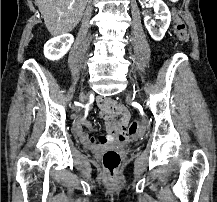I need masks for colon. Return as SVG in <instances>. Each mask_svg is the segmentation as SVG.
Wrapping results in <instances>:
<instances>
[{"instance_id":"obj_1","label":"colon","mask_w":217,"mask_h":202,"mask_svg":"<svg viewBox=\"0 0 217 202\" xmlns=\"http://www.w3.org/2000/svg\"><path fill=\"white\" fill-rule=\"evenodd\" d=\"M173 33L178 41H188L187 26L180 15H174L173 17ZM137 127L138 123L136 121H132L129 127L130 135H136L138 133L136 131ZM102 160L105 168L108 170L109 177H116L115 170L120 165V154L115 150H108L104 153Z\"/></svg>"}]
</instances>
